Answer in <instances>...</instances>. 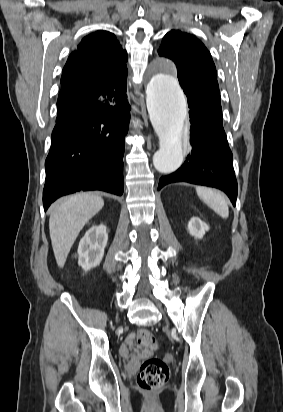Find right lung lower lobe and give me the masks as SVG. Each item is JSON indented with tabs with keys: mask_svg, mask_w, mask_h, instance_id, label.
Masks as SVG:
<instances>
[{
	"mask_svg": "<svg viewBox=\"0 0 283 412\" xmlns=\"http://www.w3.org/2000/svg\"><path fill=\"white\" fill-rule=\"evenodd\" d=\"M126 85L100 86L58 111L45 162V211L57 198L80 190L122 195L130 120Z\"/></svg>",
	"mask_w": 283,
	"mask_h": 412,
	"instance_id": "1",
	"label": "right lung lower lobe"
}]
</instances>
